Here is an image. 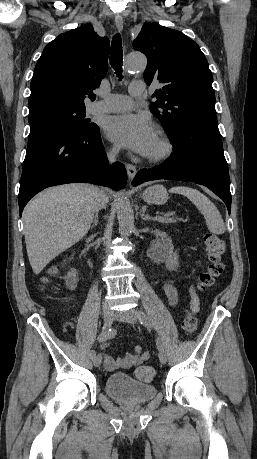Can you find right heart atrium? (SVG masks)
Returning <instances> with one entry per match:
<instances>
[{
    "label": "right heart atrium",
    "instance_id": "right-heart-atrium-1",
    "mask_svg": "<svg viewBox=\"0 0 257 459\" xmlns=\"http://www.w3.org/2000/svg\"><path fill=\"white\" fill-rule=\"evenodd\" d=\"M116 153H117V148H116V147H112V148L110 149V151H109V154H110L111 156H114Z\"/></svg>",
    "mask_w": 257,
    "mask_h": 459
}]
</instances>
